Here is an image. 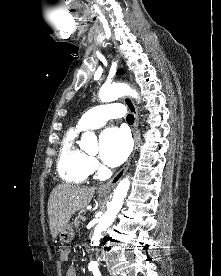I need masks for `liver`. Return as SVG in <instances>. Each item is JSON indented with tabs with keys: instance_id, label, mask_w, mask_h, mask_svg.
<instances>
[{
	"instance_id": "1",
	"label": "liver",
	"mask_w": 221,
	"mask_h": 276,
	"mask_svg": "<svg viewBox=\"0 0 221 276\" xmlns=\"http://www.w3.org/2000/svg\"><path fill=\"white\" fill-rule=\"evenodd\" d=\"M94 192V187L73 184H60L52 190L48 201V216L53 238L64 229L75 212L90 203Z\"/></svg>"
}]
</instances>
